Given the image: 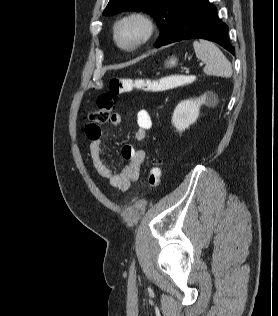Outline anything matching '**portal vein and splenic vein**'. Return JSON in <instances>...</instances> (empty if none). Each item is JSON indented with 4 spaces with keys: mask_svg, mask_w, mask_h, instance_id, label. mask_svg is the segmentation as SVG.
<instances>
[{
    "mask_svg": "<svg viewBox=\"0 0 278 316\" xmlns=\"http://www.w3.org/2000/svg\"><path fill=\"white\" fill-rule=\"evenodd\" d=\"M200 66H203V64H202V63H200Z\"/></svg>",
    "mask_w": 278,
    "mask_h": 316,
    "instance_id": "portal-vein-and-splenic-vein-1",
    "label": "portal vein and splenic vein"
}]
</instances>
